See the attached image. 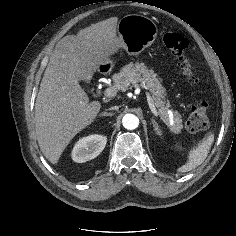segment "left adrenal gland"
<instances>
[{"label": "left adrenal gland", "instance_id": "obj_1", "mask_svg": "<svg viewBox=\"0 0 236 236\" xmlns=\"http://www.w3.org/2000/svg\"><path fill=\"white\" fill-rule=\"evenodd\" d=\"M152 125H153L154 130L156 131V133L158 135H161V131H160L159 127H158V124L156 123V121L154 119H152Z\"/></svg>", "mask_w": 236, "mask_h": 236}]
</instances>
